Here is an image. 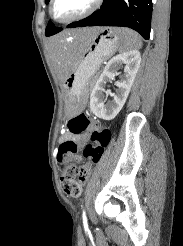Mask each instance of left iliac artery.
I'll return each mask as SVG.
<instances>
[{
	"instance_id": "1",
	"label": "left iliac artery",
	"mask_w": 183,
	"mask_h": 246,
	"mask_svg": "<svg viewBox=\"0 0 183 246\" xmlns=\"http://www.w3.org/2000/svg\"><path fill=\"white\" fill-rule=\"evenodd\" d=\"M82 219H83L84 227L87 228L88 225H87V217H86V214H85V210H83Z\"/></svg>"
}]
</instances>
